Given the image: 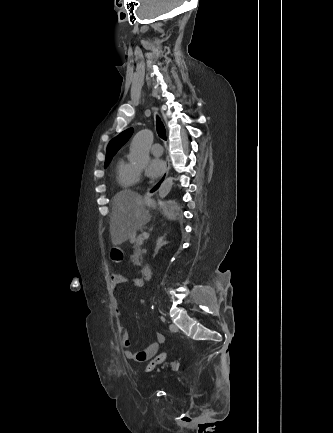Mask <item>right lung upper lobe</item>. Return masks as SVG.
<instances>
[{
	"mask_svg": "<svg viewBox=\"0 0 333 433\" xmlns=\"http://www.w3.org/2000/svg\"><path fill=\"white\" fill-rule=\"evenodd\" d=\"M133 133V128H129L122 133H120L117 137H115L109 143L107 147L106 160L105 165L109 164L112 160V157L117 153L122 145H124L128 139L131 137Z\"/></svg>",
	"mask_w": 333,
	"mask_h": 433,
	"instance_id": "obj_1",
	"label": "right lung upper lobe"
}]
</instances>
